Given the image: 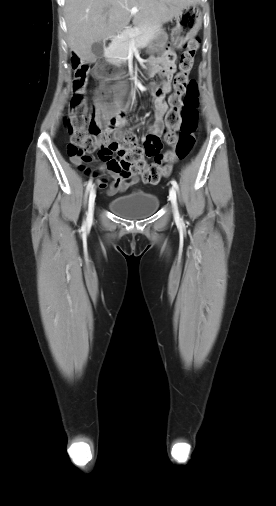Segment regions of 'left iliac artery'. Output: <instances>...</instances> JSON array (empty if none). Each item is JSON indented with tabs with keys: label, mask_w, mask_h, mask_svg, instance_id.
Segmentation results:
<instances>
[{
	"label": "left iliac artery",
	"mask_w": 276,
	"mask_h": 506,
	"mask_svg": "<svg viewBox=\"0 0 276 506\" xmlns=\"http://www.w3.org/2000/svg\"><path fill=\"white\" fill-rule=\"evenodd\" d=\"M171 184H172V185H173V187H174V188L178 191L179 187H178V184H177L176 180H174V179H173V180L171 181Z\"/></svg>",
	"instance_id": "1"
}]
</instances>
